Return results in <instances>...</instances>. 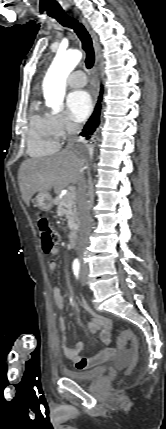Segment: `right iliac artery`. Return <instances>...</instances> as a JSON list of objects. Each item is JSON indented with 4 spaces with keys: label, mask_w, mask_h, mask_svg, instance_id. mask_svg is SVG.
I'll use <instances>...</instances> for the list:
<instances>
[{
    "label": "right iliac artery",
    "mask_w": 166,
    "mask_h": 429,
    "mask_svg": "<svg viewBox=\"0 0 166 429\" xmlns=\"http://www.w3.org/2000/svg\"><path fill=\"white\" fill-rule=\"evenodd\" d=\"M72 268H73L74 275L76 276V278H78L79 277V271H80V262L78 259H75L73 261Z\"/></svg>",
    "instance_id": "obj_1"
}]
</instances>
